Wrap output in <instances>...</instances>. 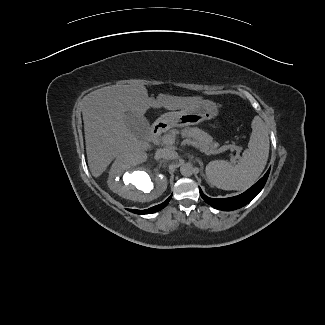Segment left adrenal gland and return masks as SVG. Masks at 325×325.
<instances>
[{
    "instance_id": "a2214340",
    "label": "left adrenal gland",
    "mask_w": 325,
    "mask_h": 325,
    "mask_svg": "<svg viewBox=\"0 0 325 325\" xmlns=\"http://www.w3.org/2000/svg\"><path fill=\"white\" fill-rule=\"evenodd\" d=\"M197 161H198V163H199V165H200V167H201V170L203 171V168H204V166H203V162L200 160V159H197ZM203 177L204 178H206V176L203 174ZM206 181L208 182V180L206 179Z\"/></svg>"
}]
</instances>
